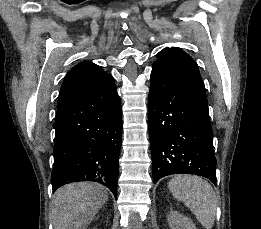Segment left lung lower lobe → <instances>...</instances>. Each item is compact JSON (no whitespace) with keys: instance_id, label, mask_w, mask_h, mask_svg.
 I'll list each match as a JSON object with an SVG mask.
<instances>
[{"instance_id":"0a47b994","label":"left lung lower lobe","mask_w":261,"mask_h":229,"mask_svg":"<svg viewBox=\"0 0 261 229\" xmlns=\"http://www.w3.org/2000/svg\"><path fill=\"white\" fill-rule=\"evenodd\" d=\"M148 127L155 181L173 174H194L216 185L217 161L200 74L153 65Z\"/></svg>"}]
</instances>
